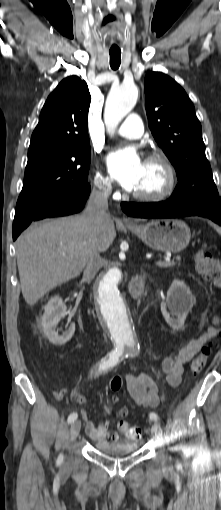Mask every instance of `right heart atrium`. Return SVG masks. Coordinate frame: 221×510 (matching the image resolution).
Returning <instances> with one entry per match:
<instances>
[{"label":"right heart atrium","instance_id":"1","mask_svg":"<svg viewBox=\"0 0 221 510\" xmlns=\"http://www.w3.org/2000/svg\"><path fill=\"white\" fill-rule=\"evenodd\" d=\"M94 186L103 195H109L112 191V179L103 171L98 170L94 178Z\"/></svg>","mask_w":221,"mask_h":510}]
</instances>
